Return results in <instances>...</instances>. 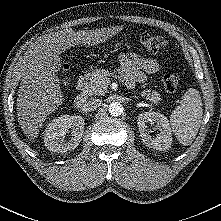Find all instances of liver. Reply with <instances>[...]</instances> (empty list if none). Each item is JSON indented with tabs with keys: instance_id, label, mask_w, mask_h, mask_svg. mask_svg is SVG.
<instances>
[{
	"instance_id": "1",
	"label": "liver",
	"mask_w": 221,
	"mask_h": 221,
	"mask_svg": "<svg viewBox=\"0 0 221 221\" xmlns=\"http://www.w3.org/2000/svg\"><path fill=\"white\" fill-rule=\"evenodd\" d=\"M121 29L116 26L75 32L67 28L43 37L28 52L17 98L18 122L28 139L37 137L47 116L63 103L60 80L56 75L61 67L60 55L76 45L89 47L103 43Z\"/></svg>"
}]
</instances>
